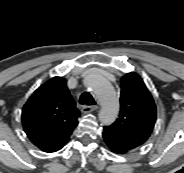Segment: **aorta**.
<instances>
[{
	"label": "aorta",
	"mask_w": 184,
	"mask_h": 173,
	"mask_svg": "<svg viewBox=\"0 0 184 173\" xmlns=\"http://www.w3.org/2000/svg\"><path fill=\"white\" fill-rule=\"evenodd\" d=\"M85 85L96 95L101 110L98 114L104 125L112 124L119 113V100L113 87L96 71H89L84 79Z\"/></svg>",
	"instance_id": "1"
}]
</instances>
